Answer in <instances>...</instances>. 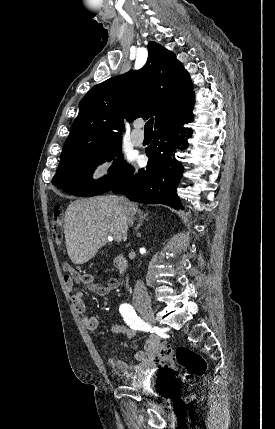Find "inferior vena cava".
Returning a JSON list of instances; mask_svg holds the SVG:
<instances>
[{
	"instance_id": "obj_1",
	"label": "inferior vena cava",
	"mask_w": 275,
	"mask_h": 429,
	"mask_svg": "<svg viewBox=\"0 0 275 429\" xmlns=\"http://www.w3.org/2000/svg\"><path fill=\"white\" fill-rule=\"evenodd\" d=\"M134 221V216L131 213H128L127 223L132 226ZM133 301L135 303H146L150 304V297L147 293L146 287L141 280H138L134 287L133 292Z\"/></svg>"
}]
</instances>
